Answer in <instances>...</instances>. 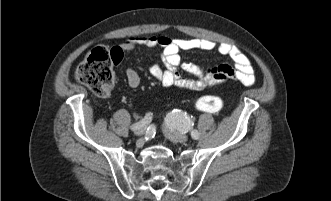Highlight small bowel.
Instances as JSON below:
<instances>
[{
    "label": "small bowel",
    "mask_w": 331,
    "mask_h": 201,
    "mask_svg": "<svg viewBox=\"0 0 331 201\" xmlns=\"http://www.w3.org/2000/svg\"><path fill=\"white\" fill-rule=\"evenodd\" d=\"M162 48L164 68L159 64L150 66V74L163 86H178L189 90H202L206 87L221 84L227 80H236L246 86L255 83L254 69L250 59L237 46L228 43L216 44L207 39L169 38L166 36L140 35L127 38L121 49L132 51L137 47ZM211 51L216 50L233 61V66L220 64L203 69L181 57L183 51ZM179 69L192 75L187 78L180 74ZM127 82L130 88L136 89L140 85L138 72L133 68L126 70Z\"/></svg>",
    "instance_id": "c3829d8e"
}]
</instances>
